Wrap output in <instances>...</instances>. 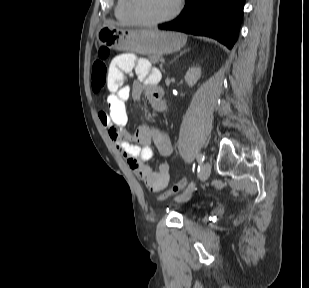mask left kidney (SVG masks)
Returning <instances> with one entry per match:
<instances>
[{"instance_id":"obj_1","label":"left kidney","mask_w":309,"mask_h":288,"mask_svg":"<svg viewBox=\"0 0 309 288\" xmlns=\"http://www.w3.org/2000/svg\"><path fill=\"white\" fill-rule=\"evenodd\" d=\"M201 76V68L200 67H191L187 71L185 75V81L189 86H194Z\"/></svg>"}]
</instances>
